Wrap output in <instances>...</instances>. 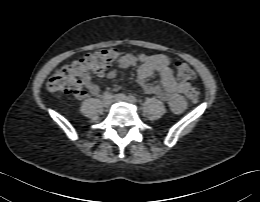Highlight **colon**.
<instances>
[{"label":"colon","mask_w":260,"mask_h":202,"mask_svg":"<svg viewBox=\"0 0 260 202\" xmlns=\"http://www.w3.org/2000/svg\"><path fill=\"white\" fill-rule=\"evenodd\" d=\"M117 58L116 50L103 48L92 51L82 58L65 65L54 72L47 82V88L52 92L69 94L81 89L91 75L104 72ZM177 75L182 80L195 78V72L184 62L176 63ZM200 93L197 88H190L187 97L191 102H197Z\"/></svg>","instance_id":"5ec220e1"}]
</instances>
